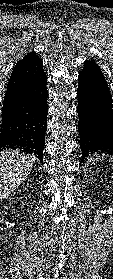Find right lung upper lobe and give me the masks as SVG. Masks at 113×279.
I'll return each instance as SVG.
<instances>
[{
	"mask_svg": "<svg viewBox=\"0 0 113 279\" xmlns=\"http://www.w3.org/2000/svg\"><path fill=\"white\" fill-rule=\"evenodd\" d=\"M40 64L42 62L36 55V52H30L23 59L19 60L13 68L5 97L10 94L11 90L15 89L20 83L31 76Z\"/></svg>",
	"mask_w": 113,
	"mask_h": 279,
	"instance_id": "1",
	"label": "right lung upper lobe"
}]
</instances>
